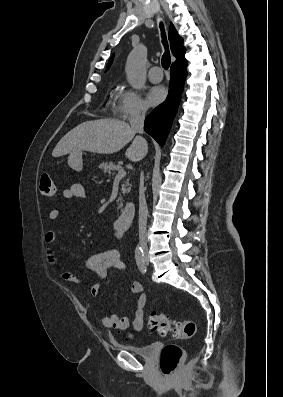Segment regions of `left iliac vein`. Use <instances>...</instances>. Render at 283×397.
Returning a JSON list of instances; mask_svg holds the SVG:
<instances>
[{
	"mask_svg": "<svg viewBox=\"0 0 283 397\" xmlns=\"http://www.w3.org/2000/svg\"><path fill=\"white\" fill-rule=\"evenodd\" d=\"M144 262H145L146 265L149 264V260H148L147 254H145V256H144Z\"/></svg>",
	"mask_w": 283,
	"mask_h": 397,
	"instance_id": "4c4485c4",
	"label": "left iliac vein"
}]
</instances>
